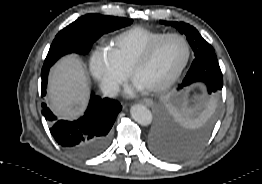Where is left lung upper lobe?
<instances>
[{"mask_svg": "<svg viewBox=\"0 0 262 184\" xmlns=\"http://www.w3.org/2000/svg\"><path fill=\"white\" fill-rule=\"evenodd\" d=\"M160 23L165 24V25L174 26L181 33H184L189 41V44L191 45L194 51L195 57H198L206 53L214 52V49L212 48V46L202 38V36L193 26L187 23H184V22L178 23V22H172V21H160ZM192 75H193V71L189 70L183 82L179 85V88H178L179 90L197 81H202L206 84L209 94L216 93L220 91L223 87V79H220V78L212 79L205 74H204L205 78L198 79V78H195L194 75L193 76Z\"/></svg>", "mask_w": 262, "mask_h": 184, "instance_id": "1", "label": "left lung upper lobe"}]
</instances>
